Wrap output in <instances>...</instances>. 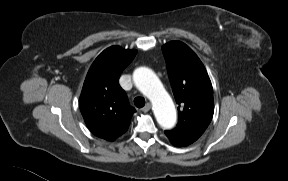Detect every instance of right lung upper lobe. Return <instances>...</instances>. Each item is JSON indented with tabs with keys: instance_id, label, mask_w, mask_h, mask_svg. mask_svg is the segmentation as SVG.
Masks as SVG:
<instances>
[{
	"instance_id": "1",
	"label": "right lung upper lobe",
	"mask_w": 288,
	"mask_h": 181,
	"mask_svg": "<svg viewBox=\"0 0 288 181\" xmlns=\"http://www.w3.org/2000/svg\"><path fill=\"white\" fill-rule=\"evenodd\" d=\"M136 50L112 46L95 59L86 76L79 106L89 130L97 137L113 141L129 127L136 111L118 80L135 57Z\"/></svg>"
}]
</instances>
